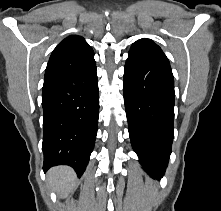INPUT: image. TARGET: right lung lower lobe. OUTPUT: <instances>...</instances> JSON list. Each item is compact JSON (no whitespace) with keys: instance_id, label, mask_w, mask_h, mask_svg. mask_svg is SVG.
Masks as SVG:
<instances>
[{"instance_id":"obj_1","label":"right lung lower lobe","mask_w":221,"mask_h":211,"mask_svg":"<svg viewBox=\"0 0 221 211\" xmlns=\"http://www.w3.org/2000/svg\"><path fill=\"white\" fill-rule=\"evenodd\" d=\"M43 107V170L71 166L80 177L94 148L99 115L96 65L45 81Z\"/></svg>"}]
</instances>
